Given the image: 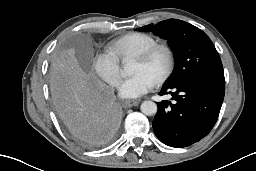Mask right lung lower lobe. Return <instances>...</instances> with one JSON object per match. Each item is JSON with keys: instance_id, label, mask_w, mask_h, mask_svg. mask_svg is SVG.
I'll return each instance as SVG.
<instances>
[{"instance_id": "1", "label": "right lung lower lobe", "mask_w": 256, "mask_h": 171, "mask_svg": "<svg viewBox=\"0 0 256 171\" xmlns=\"http://www.w3.org/2000/svg\"><path fill=\"white\" fill-rule=\"evenodd\" d=\"M57 114L69 134L80 144L98 147L111 142L121 123V110L112 90L94 84L55 102Z\"/></svg>"}]
</instances>
